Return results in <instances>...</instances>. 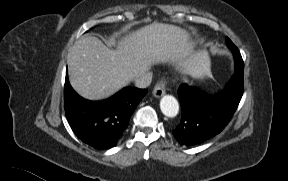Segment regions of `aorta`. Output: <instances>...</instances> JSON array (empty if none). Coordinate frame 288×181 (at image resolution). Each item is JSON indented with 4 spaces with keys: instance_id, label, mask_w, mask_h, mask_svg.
<instances>
[{
    "instance_id": "1",
    "label": "aorta",
    "mask_w": 288,
    "mask_h": 181,
    "mask_svg": "<svg viewBox=\"0 0 288 181\" xmlns=\"http://www.w3.org/2000/svg\"><path fill=\"white\" fill-rule=\"evenodd\" d=\"M160 109L167 117H175L179 112V104L175 97L165 95L160 100Z\"/></svg>"
}]
</instances>
